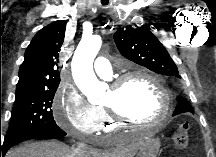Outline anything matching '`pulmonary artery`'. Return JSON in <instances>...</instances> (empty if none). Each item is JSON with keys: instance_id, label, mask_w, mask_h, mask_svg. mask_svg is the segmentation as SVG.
Returning a JSON list of instances; mask_svg holds the SVG:
<instances>
[{"instance_id": "pulmonary-artery-1", "label": "pulmonary artery", "mask_w": 216, "mask_h": 157, "mask_svg": "<svg viewBox=\"0 0 216 157\" xmlns=\"http://www.w3.org/2000/svg\"><path fill=\"white\" fill-rule=\"evenodd\" d=\"M94 71L103 78H110L112 75V67L110 61L105 57H97L94 62Z\"/></svg>"}]
</instances>
